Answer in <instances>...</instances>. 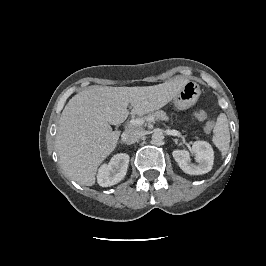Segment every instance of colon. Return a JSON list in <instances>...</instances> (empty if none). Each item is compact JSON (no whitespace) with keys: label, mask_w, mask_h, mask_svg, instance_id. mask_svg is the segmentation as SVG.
<instances>
[{"label":"colon","mask_w":266,"mask_h":266,"mask_svg":"<svg viewBox=\"0 0 266 266\" xmlns=\"http://www.w3.org/2000/svg\"><path fill=\"white\" fill-rule=\"evenodd\" d=\"M194 117L200 121H203V120H206L207 118V114L205 111L203 110H199V111H196L194 113ZM213 128V122L211 121H208L206 124H205V130L206 131H211Z\"/></svg>","instance_id":"5ec220e1"}]
</instances>
